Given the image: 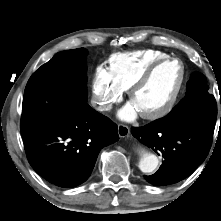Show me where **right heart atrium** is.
<instances>
[{
    "label": "right heart atrium",
    "mask_w": 221,
    "mask_h": 221,
    "mask_svg": "<svg viewBox=\"0 0 221 221\" xmlns=\"http://www.w3.org/2000/svg\"><path fill=\"white\" fill-rule=\"evenodd\" d=\"M93 101L100 111H108L119 102L123 96V89L113 80L109 71L98 66L91 81Z\"/></svg>",
    "instance_id": "d8ad5b80"
}]
</instances>
